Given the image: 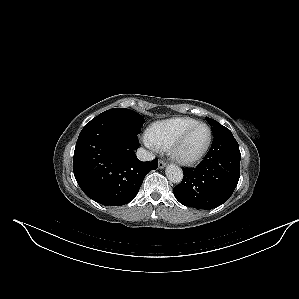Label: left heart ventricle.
<instances>
[{
	"mask_svg": "<svg viewBox=\"0 0 299 299\" xmlns=\"http://www.w3.org/2000/svg\"><path fill=\"white\" fill-rule=\"evenodd\" d=\"M208 139V130L205 126H197L186 138L181 147V153L186 156L197 154L205 146Z\"/></svg>",
	"mask_w": 299,
	"mask_h": 299,
	"instance_id": "left-heart-ventricle-1",
	"label": "left heart ventricle"
}]
</instances>
